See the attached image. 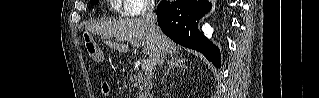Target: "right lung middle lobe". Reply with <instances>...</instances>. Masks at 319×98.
<instances>
[{"mask_svg":"<svg viewBox=\"0 0 319 98\" xmlns=\"http://www.w3.org/2000/svg\"><path fill=\"white\" fill-rule=\"evenodd\" d=\"M98 1H99V0H90V3H91L92 5H96V4L98 3Z\"/></svg>","mask_w":319,"mask_h":98,"instance_id":"obj_1","label":"right lung middle lobe"}]
</instances>
